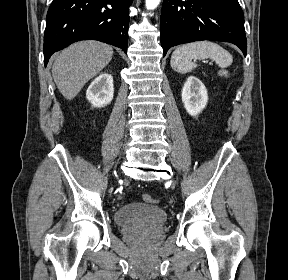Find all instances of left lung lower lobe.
<instances>
[{"label": "left lung lower lobe", "instance_id": "1", "mask_svg": "<svg viewBox=\"0 0 288 280\" xmlns=\"http://www.w3.org/2000/svg\"><path fill=\"white\" fill-rule=\"evenodd\" d=\"M160 29L163 56L170 47L201 40L230 42L247 53L238 0H164Z\"/></svg>", "mask_w": 288, "mask_h": 280}]
</instances>
